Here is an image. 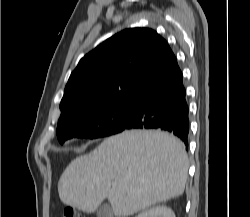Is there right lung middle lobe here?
Returning <instances> with one entry per match:
<instances>
[{"label":"right lung middle lobe","mask_w":250,"mask_h":217,"mask_svg":"<svg viewBox=\"0 0 250 217\" xmlns=\"http://www.w3.org/2000/svg\"><path fill=\"white\" fill-rule=\"evenodd\" d=\"M136 100L112 102L80 111L58 122L57 138L61 144L74 137L95 139L123 131L132 120Z\"/></svg>","instance_id":"1"}]
</instances>
